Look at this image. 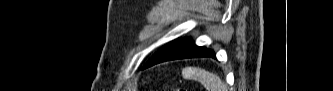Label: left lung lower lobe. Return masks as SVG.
Instances as JSON below:
<instances>
[{"mask_svg":"<svg viewBox=\"0 0 333 91\" xmlns=\"http://www.w3.org/2000/svg\"><path fill=\"white\" fill-rule=\"evenodd\" d=\"M199 57L215 58V53L210 49L196 46L190 39L179 38L159 49L143 69L168 60Z\"/></svg>","mask_w":333,"mask_h":91,"instance_id":"0a47b994","label":"left lung lower lobe"}]
</instances>
